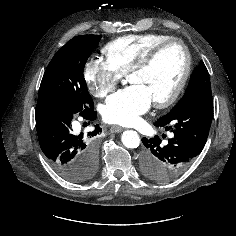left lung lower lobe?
<instances>
[{
	"label": "left lung lower lobe",
	"instance_id": "left-lung-lower-lobe-1",
	"mask_svg": "<svg viewBox=\"0 0 236 236\" xmlns=\"http://www.w3.org/2000/svg\"><path fill=\"white\" fill-rule=\"evenodd\" d=\"M212 118L211 91L200 94L170 117L159 118L154 125L171 130L173 137L165 144L158 136L142 139L145 146L141 157L142 173L157 182L178 177L203 150Z\"/></svg>",
	"mask_w": 236,
	"mask_h": 236
}]
</instances>
